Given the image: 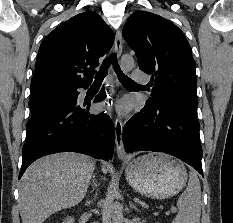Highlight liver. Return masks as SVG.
Listing matches in <instances>:
<instances>
[{
  "instance_id": "obj_1",
  "label": "liver",
  "mask_w": 233,
  "mask_h": 223,
  "mask_svg": "<svg viewBox=\"0 0 233 223\" xmlns=\"http://www.w3.org/2000/svg\"><path fill=\"white\" fill-rule=\"evenodd\" d=\"M94 161L82 153H53L29 165L20 179L18 205L23 223H43L49 215L82 201ZM103 173H107L102 165Z\"/></svg>"
}]
</instances>
